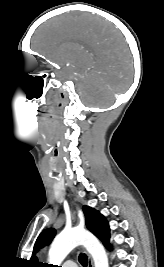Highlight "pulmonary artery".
Here are the masks:
<instances>
[{"mask_svg":"<svg viewBox=\"0 0 164 267\" xmlns=\"http://www.w3.org/2000/svg\"><path fill=\"white\" fill-rule=\"evenodd\" d=\"M63 267H77V264L71 260H68L63 264Z\"/></svg>","mask_w":164,"mask_h":267,"instance_id":"e3ab8cb5","label":"pulmonary artery"}]
</instances>
